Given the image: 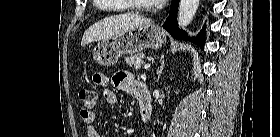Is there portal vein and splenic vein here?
Returning a JSON list of instances; mask_svg holds the SVG:
<instances>
[{"mask_svg": "<svg viewBox=\"0 0 280 137\" xmlns=\"http://www.w3.org/2000/svg\"><path fill=\"white\" fill-rule=\"evenodd\" d=\"M144 68H145V69L150 68V64H145V65H144Z\"/></svg>", "mask_w": 280, "mask_h": 137, "instance_id": "obj_1", "label": "portal vein and splenic vein"}]
</instances>
